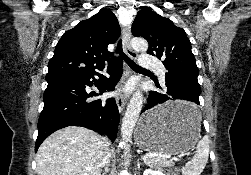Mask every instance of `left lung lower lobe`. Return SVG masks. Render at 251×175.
Segmentation results:
<instances>
[{"mask_svg": "<svg viewBox=\"0 0 251 175\" xmlns=\"http://www.w3.org/2000/svg\"><path fill=\"white\" fill-rule=\"evenodd\" d=\"M165 81L167 90L164 93L151 91L147 100L148 104L142 112L172 99L186 100L190 103L150 112L145 117V123L152 125L176 121H192L199 118L200 108L197 105H200L199 95L201 88L197 76L181 72H167Z\"/></svg>", "mask_w": 251, "mask_h": 175, "instance_id": "0a47b994", "label": "left lung lower lobe"}]
</instances>
